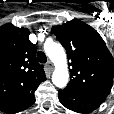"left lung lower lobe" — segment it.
Wrapping results in <instances>:
<instances>
[{
    "label": "left lung lower lobe",
    "mask_w": 114,
    "mask_h": 114,
    "mask_svg": "<svg viewBox=\"0 0 114 114\" xmlns=\"http://www.w3.org/2000/svg\"><path fill=\"white\" fill-rule=\"evenodd\" d=\"M59 101L66 108L87 114L97 109L105 100V97L88 92L65 88L58 91Z\"/></svg>",
    "instance_id": "0a47b994"
}]
</instances>
